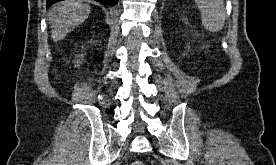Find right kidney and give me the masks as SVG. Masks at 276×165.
I'll return each instance as SVG.
<instances>
[{
	"label": "right kidney",
	"instance_id": "1",
	"mask_svg": "<svg viewBox=\"0 0 276 165\" xmlns=\"http://www.w3.org/2000/svg\"><path fill=\"white\" fill-rule=\"evenodd\" d=\"M83 57V55H76V61H74L75 64H80V59Z\"/></svg>",
	"mask_w": 276,
	"mask_h": 165
}]
</instances>
